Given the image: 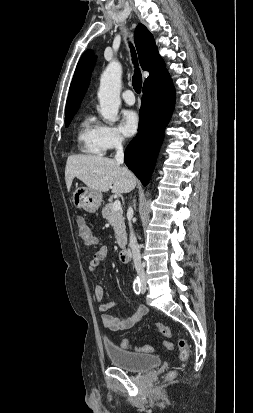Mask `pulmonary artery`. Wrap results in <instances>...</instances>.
<instances>
[{
  "label": "pulmonary artery",
  "instance_id": "1",
  "mask_svg": "<svg viewBox=\"0 0 253 413\" xmlns=\"http://www.w3.org/2000/svg\"><path fill=\"white\" fill-rule=\"evenodd\" d=\"M122 98L124 102L128 105H133L135 103V96L132 90H125L122 93Z\"/></svg>",
  "mask_w": 253,
  "mask_h": 413
}]
</instances>
